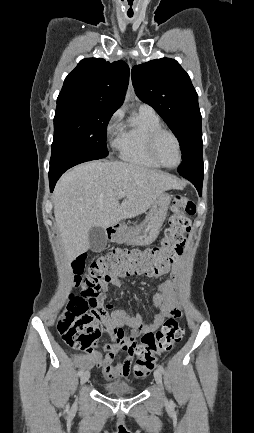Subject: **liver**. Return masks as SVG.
<instances>
[{"instance_id":"liver-1","label":"liver","mask_w":254,"mask_h":433,"mask_svg":"<svg viewBox=\"0 0 254 433\" xmlns=\"http://www.w3.org/2000/svg\"><path fill=\"white\" fill-rule=\"evenodd\" d=\"M181 185L171 175L126 162L91 161L74 167L54 190V215L71 261L90 249L89 230L103 229L148 210ZM124 200L119 202V193Z\"/></svg>"}]
</instances>
